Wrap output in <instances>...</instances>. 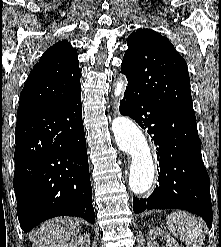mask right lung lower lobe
I'll use <instances>...</instances> for the list:
<instances>
[{
    "label": "right lung lower lobe",
    "instance_id": "98d812e1",
    "mask_svg": "<svg viewBox=\"0 0 221 247\" xmlns=\"http://www.w3.org/2000/svg\"><path fill=\"white\" fill-rule=\"evenodd\" d=\"M14 190L21 228L56 216L94 224L81 92L17 114Z\"/></svg>",
    "mask_w": 221,
    "mask_h": 247
}]
</instances>
